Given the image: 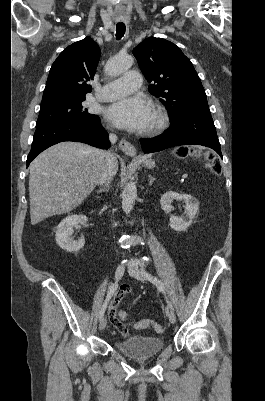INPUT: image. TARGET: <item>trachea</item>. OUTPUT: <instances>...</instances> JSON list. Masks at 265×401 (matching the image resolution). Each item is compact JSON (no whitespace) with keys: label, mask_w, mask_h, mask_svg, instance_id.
Returning <instances> with one entry per match:
<instances>
[{"label":"trachea","mask_w":265,"mask_h":401,"mask_svg":"<svg viewBox=\"0 0 265 401\" xmlns=\"http://www.w3.org/2000/svg\"><path fill=\"white\" fill-rule=\"evenodd\" d=\"M125 31H126V27H125L124 23H122V22L117 23V26H116L117 40H120L124 36Z\"/></svg>","instance_id":"obj_1"}]
</instances>
